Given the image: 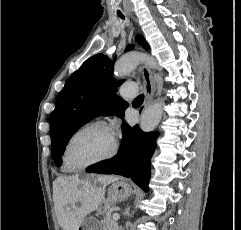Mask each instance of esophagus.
Masks as SVG:
<instances>
[{
	"instance_id": "obj_1",
	"label": "esophagus",
	"mask_w": 241,
	"mask_h": 230,
	"mask_svg": "<svg viewBox=\"0 0 241 230\" xmlns=\"http://www.w3.org/2000/svg\"><path fill=\"white\" fill-rule=\"evenodd\" d=\"M141 72L145 84V101L144 107L148 106L154 97L155 90H156V83L153 77L152 71L149 69L147 65H143L141 67Z\"/></svg>"
}]
</instances>
